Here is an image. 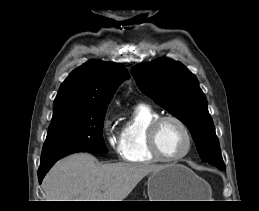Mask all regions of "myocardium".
<instances>
[{"instance_id": "obj_1", "label": "myocardium", "mask_w": 259, "mask_h": 211, "mask_svg": "<svg viewBox=\"0 0 259 211\" xmlns=\"http://www.w3.org/2000/svg\"><path fill=\"white\" fill-rule=\"evenodd\" d=\"M166 121H173L177 123L182 128L187 139V145L185 149L183 150L182 153H180L177 156H173V157L165 156L162 153L158 144L159 129L162 126V124ZM147 144H148L149 151L156 159L161 161H166V162H175L183 159L189 154L193 146V137L188 126L185 124V122L182 119L174 115H164V116H159L149 125L147 129Z\"/></svg>"}]
</instances>
